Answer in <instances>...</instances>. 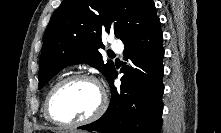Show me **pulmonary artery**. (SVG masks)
<instances>
[{"label": "pulmonary artery", "mask_w": 221, "mask_h": 133, "mask_svg": "<svg viewBox=\"0 0 221 133\" xmlns=\"http://www.w3.org/2000/svg\"><path fill=\"white\" fill-rule=\"evenodd\" d=\"M111 49L120 53L123 50V44L120 41H113L111 43Z\"/></svg>", "instance_id": "e3ab8cb5"}]
</instances>
